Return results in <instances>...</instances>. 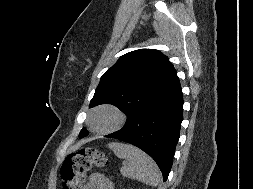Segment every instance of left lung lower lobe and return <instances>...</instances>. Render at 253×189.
I'll return each instance as SVG.
<instances>
[{"label":"left lung lower lobe","mask_w":253,"mask_h":189,"mask_svg":"<svg viewBox=\"0 0 253 189\" xmlns=\"http://www.w3.org/2000/svg\"><path fill=\"white\" fill-rule=\"evenodd\" d=\"M183 98L179 80L162 96L138 111L117 132L106 137L133 144L158 164L166 181L173 163L181 122ZM88 133L79 137L83 138Z\"/></svg>","instance_id":"1"}]
</instances>
